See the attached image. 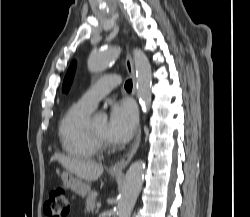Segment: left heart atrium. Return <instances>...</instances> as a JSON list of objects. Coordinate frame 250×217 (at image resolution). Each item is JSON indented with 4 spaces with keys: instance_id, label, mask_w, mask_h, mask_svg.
Listing matches in <instances>:
<instances>
[{
    "instance_id": "obj_1",
    "label": "left heart atrium",
    "mask_w": 250,
    "mask_h": 217,
    "mask_svg": "<svg viewBox=\"0 0 250 217\" xmlns=\"http://www.w3.org/2000/svg\"><path fill=\"white\" fill-rule=\"evenodd\" d=\"M138 127L136 107L128 100L113 103L107 122L108 140L124 144L131 139Z\"/></svg>"
}]
</instances>
